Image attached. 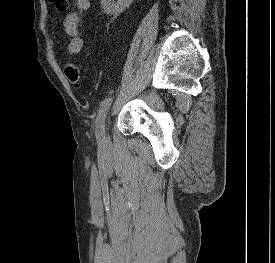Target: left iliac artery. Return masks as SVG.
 Returning a JSON list of instances; mask_svg holds the SVG:
<instances>
[{"mask_svg":"<svg viewBox=\"0 0 275 263\" xmlns=\"http://www.w3.org/2000/svg\"><path fill=\"white\" fill-rule=\"evenodd\" d=\"M113 98L108 97L106 98L102 103L98 111V115L96 118V128H95V134L98 141L103 142L104 141V122L106 119L107 112L110 108V105L112 103Z\"/></svg>","mask_w":275,"mask_h":263,"instance_id":"left-iliac-artery-1","label":"left iliac artery"}]
</instances>
